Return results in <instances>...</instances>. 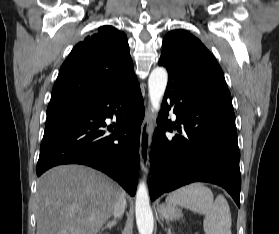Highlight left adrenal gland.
Returning a JSON list of instances; mask_svg holds the SVG:
<instances>
[{"label":"left adrenal gland","instance_id":"left-adrenal-gland-1","mask_svg":"<svg viewBox=\"0 0 279 234\" xmlns=\"http://www.w3.org/2000/svg\"><path fill=\"white\" fill-rule=\"evenodd\" d=\"M167 234H172L171 233V227H169L168 229H166Z\"/></svg>","mask_w":279,"mask_h":234}]
</instances>
